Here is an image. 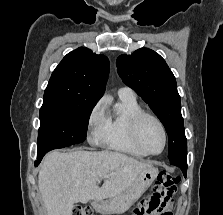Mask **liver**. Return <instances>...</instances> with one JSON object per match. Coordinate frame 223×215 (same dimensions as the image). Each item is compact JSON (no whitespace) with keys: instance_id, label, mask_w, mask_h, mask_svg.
<instances>
[{"instance_id":"6515ba94","label":"liver","mask_w":223,"mask_h":215,"mask_svg":"<svg viewBox=\"0 0 223 215\" xmlns=\"http://www.w3.org/2000/svg\"><path fill=\"white\" fill-rule=\"evenodd\" d=\"M146 167L152 163L119 151H50L38 173V185L48 215H72L78 201L123 193ZM99 179H104L102 187L97 185Z\"/></svg>"}]
</instances>
